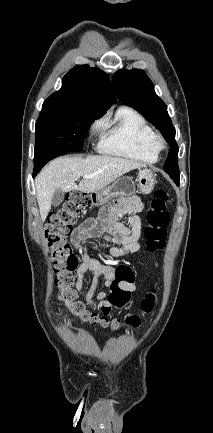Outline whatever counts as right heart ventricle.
Returning <instances> with one entry per match:
<instances>
[{"label": "right heart ventricle", "instance_id": "1", "mask_svg": "<svg viewBox=\"0 0 213 433\" xmlns=\"http://www.w3.org/2000/svg\"><path fill=\"white\" fill-rule=\"evenodd\" d=\"M102 126L100 152L146 163L158 160L156 134L136 111L122 107L112 121L104 122Z\"/></svg>", "mask_w": 213, "mask_h": 433}]
</instances>
